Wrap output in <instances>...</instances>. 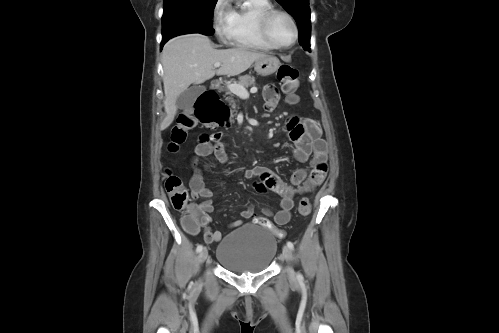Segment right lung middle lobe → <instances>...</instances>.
I'll return each mask as SVG.
<instances>
[{"label":"right lung middle lobe","mask_w":499,"mask_h":333,"mask_svg":"<svg viewBox=\"0 0 499 333\" xmlns=\"http://www.w3.org/2000/svg\"><path fill=\"white\" fill-rule=\"evenodd\" d=\"M217 0H164L162 39L187 33L212 35L213 10Z\"/></svg>","instance_id":"dd1d6c3e"}]
</instances>
